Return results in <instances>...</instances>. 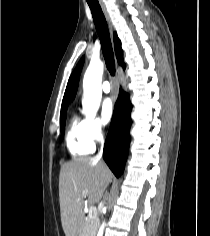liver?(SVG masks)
I'll return each instance as SVG.
<instances>
[{"label":"liver","mask_w":210,"mask_h":236,"mask_svg":"<svg viewBox=\"0 0 210 236\" xmlns=\"http://www.w3.org/2000/svg\"><path fill=\"white\" fill-rule=\"evenodd\" d=\"M113 174L104 162L80 157L62 165L59 175V201L62 228L66 236H82L84 203L99 202Z\"/></svg>","instance_id":"obj_1"}]
</instances>
